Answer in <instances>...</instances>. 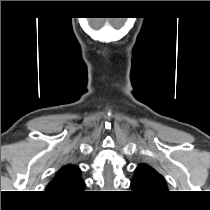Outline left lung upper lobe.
Masks as SVG:
<instances>
[{"instance_id":"5c2ea615","label":"left lung upper lobe","mask_w":210,"mask_h":210,"mask_svg":"<svg viewBox=\"0 0 210 210\" xmlns=\"http://www.w3.org/2000/svg\"><path fill=\"white\" fill-rule=\"evenodd\" d=\"M131 188L136 192L147 195L165 194L168 191L164 177L145 163H140L136 167Z\"/></svg>"}]
</instances>
